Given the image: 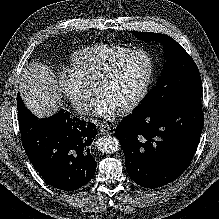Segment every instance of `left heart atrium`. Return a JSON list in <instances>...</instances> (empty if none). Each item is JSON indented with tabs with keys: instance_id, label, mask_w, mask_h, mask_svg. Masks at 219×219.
Returning <instances> with one entry per match:
<instances>
[{
	"instance_id": "1",
	"label": "left heart atrium",
	"mask_w": 219,
	"mask_h": 219,
	"mask_svg": "<svg viewBox=\"0 0 219 219\" xmlns=\"http://www.w3.org/2000/svg\"><path fill=\"white\" fill-rule=\"evenodd\" d=\"M117 112L118 108L111 101L104 96L98 97L94 108V114L97 117L110 120Z\"/></svg>"
}]
</instances>
